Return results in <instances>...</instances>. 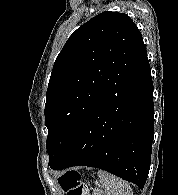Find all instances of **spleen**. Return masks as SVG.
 <instances>
[{"mask_svg": "<svg viewBox=\"0 0 178 195\" xmlns=\"http://www.w3.org/2000/svg\"><path fill=\"white\" fill-rule=\"evenodd\" d=\"M98 177L99 182L95 184L101 186L106 195H133L130 185L122 179L104 171H98Z\"/></svg>", "mask_w": 178, "mask_h": 195, "instance_id": "1", "label": "spleen"}]
</instances>
